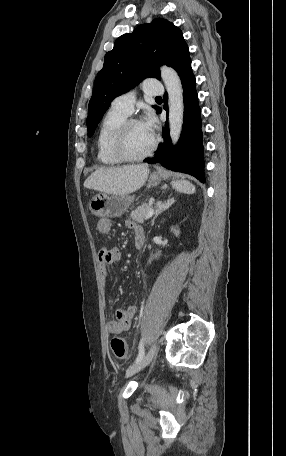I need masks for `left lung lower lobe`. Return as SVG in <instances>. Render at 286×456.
<instances>
[{"mask_svg":"<svg viewBox=\"0 0 286 456\" xmlns=\"http://www.w3.org/2000/svg\"><path fill=\"white\" fill-rule=\"evenodd\" d=\"M178 75L182 82L184 97V124L179 142L175 147L172 146L166 123L163 130L164 144L158 147L157 155L154 158L145 161L148 163L159 162L167 169L190 174L204 183L201 109L198 104L191 60L178 70ZM164 98L167 102V93H165ZM164 108L168 111L167 105ZM157 111L160 113L161 109L158 108Z\"/></svg>","mask_w":286,"mask_h":456,"instance_id":"1","label":"left lung lower lobe"}]
</instances>
